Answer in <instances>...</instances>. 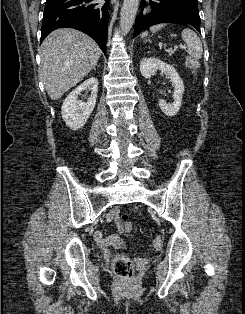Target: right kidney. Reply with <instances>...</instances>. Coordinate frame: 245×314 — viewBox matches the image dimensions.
<instances>
[{
	"label": "right kidney",
	"instance_id": "ca27d5eb",
	"mask_svg": "<svg viewBox=\"0 0 245 314\" xmlns=\"http://www.w3.org/2000/svg\"><path fill=\"white\" fill-rule=\"evenodd\" d=\"M83 90L90 91L91 95L87 102L78 100ZM98 92V80L91 77L75 88L64 100L61 107L62 118L72 130L82 128L94 110Z\"/></svg>",
	"mask_w": 245,
	"mask_h": 314
}]
</instances>
